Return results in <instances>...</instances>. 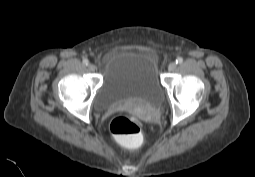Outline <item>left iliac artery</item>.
<instances>
[{"mask_svg": "<svg viewBox=\"0 0 255 177\" xmlns=\"http://www.w3.org/2000/svg\"><path fill=\"white\" fill-rule=\"evenodd\" d=\"M183 63V58L182 57H178L176 59V64H182Z\"/></svg>", "mask_w": 255, "mask_h": 177, "instance_id": "1", "label": "left iliac artery"}]
</instances>
